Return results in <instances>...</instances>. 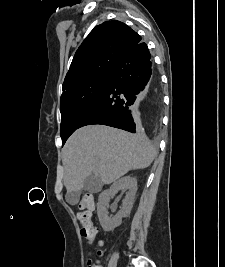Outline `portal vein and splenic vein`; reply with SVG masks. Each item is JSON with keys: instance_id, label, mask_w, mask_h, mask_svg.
Masks as SVG:
<instances>
[{"instance_id": "portal-vein-and-splenic-vein-1", "label": "portal vein and splenic vein", "mask_w": 225, "mask_h": 267, "mask_svg": "<svg viewBox=\"0 0 225 267\" xmlns=\"http://www.w3.org/2000/svg\"><path fill=\"white\" fill-rule=\"evenodd\" d=\"M95 161H96V162H99V159H98V158H96V159H95Z\"/></svg>"}]
</instances>
